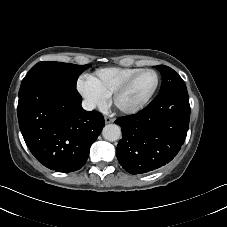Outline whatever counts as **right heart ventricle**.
<instances>
[{
	"mask_svg": "<svg viewBox=\"0 0 227 227\" xmlns=\"http://www.w3.org/2000/svg\"><path fill=\"white\" fill-rule=\"evenodd\" d=\"M141 70V68L128 67L103 68L89 76L88 79L104 94L111 96L115 89L126 81L130 76Z\"/></svg>",
	"mask_w": 227,
	"mask_h": 227,
	"instance_id": "right-heart-ventricle-1",
	"label": "right heart ventricle"
}]
</instances>
